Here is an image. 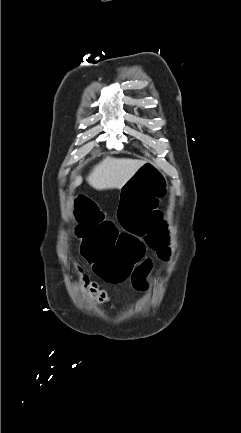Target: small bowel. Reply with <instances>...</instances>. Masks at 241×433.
Instances as JSON below:
<instances>
[{
	"instance_id": "1",
	"label": "small bowel",
	"mask_w": 241,
	"mask_h": 433,
	"mask_svg": "<svg viewBox=\"0 0 241 433\" xmlns=\"http://www.w3.org/2000/svg\"><path fill=\"white\" fill-rule=\"evenodd\" d=\"M145 164V163H144ZM154 168H157L156 166ZM164 181H167L166 178ZM162 228H165V226H161ZM136 276V275H134ZM140 277H138V280ZM87 289L89 290L90 296L95 299L100 304H108L111 302L112 297L111 295L105 291L98 288V285L96 283H89L87 281Z\"/></svg>"
}]
</instances>
